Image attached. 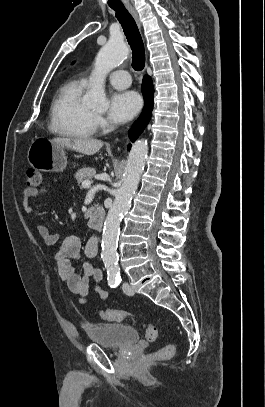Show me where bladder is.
<instances>
[{"mask_svg": "<svg viewBox=\"0 0 265 407\" xmlns=\"http://www.w3.org/2000/svg\"><path fill=\"white\" fill-rule=\"evenodd\" d=\"M88 338L108 348L120 349L138 341L136 329L124 324L94 323L85 327Z\"/></svg>", "mask_w": 265, "mask_h": 407, "instance_id": "obj_1", "label": "bladder"}]
</instances>
